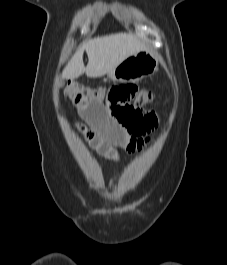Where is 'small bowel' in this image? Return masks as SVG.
<instances>
[{
	"label": "small bowel",
	"mask_w": 227,
	"mask_h": 265,
	"mask_svg": "<svg viewBox=\"0 0 227 265\" xmlns=\"http://www.w3.org/2000/svg\"><path fill=\"white\" fill-rule=\"evenodd\" d=\"M76 107L83 123L79 130L85 140L99 155L117 161L119 150L140 152L150 142V137L130 134L105 108L102 98L93 101L75 96Z\"/></svg>",
	"instance_id": "c3829d8e"
}]
</instances>
